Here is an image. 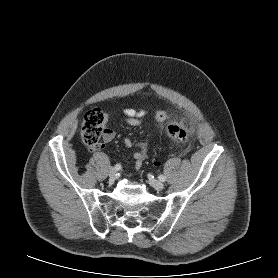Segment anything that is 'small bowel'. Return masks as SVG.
I'll list each match as a JSON object with an SVG mask.
<instances>
[{
	"instance_id": "small-bowel-1",
	"label": "small bowel",
	"mask_w": 278,
	"mask_h": 278,
	"mask_svg": "<svg viewBox=\"0 0 278 278\" xmlns=\"http://www.w3.org/2000/svg\"><path fill=\"white\" fill-rule=\"evenodd\" d=\"M145 115L143 109L135 108H125L120 112V118L133 126H140L142 124V119ZM113 115L108 114L105 117L103 125V140L105 143L111 142L115 138V131L111 128L110 122ZM167 119V113L163 110H157L154 113V120L156 124H161ZM125 147L129 148L132 146V141L129 138L124 139ZM147 158V149L146 147H141L134 153V167L139 169L144 160Z\"/></svg>"
}]
</instances>
